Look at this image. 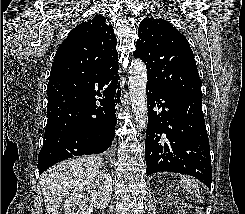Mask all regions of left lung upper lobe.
Instances as JSON below:
<instances>
[{
	"label": "left lung upper lobe",
	"instance_id": "obj_1",
	"mask_svg": "<svg viewBox=\"0 0 245 214\" xmlns=\"http://www.w3.org/2000/svg\"><path fill=\"white\" fill-rule=\"evenodd\" d=\"M134 56L147 68V85L173 94L202 96L201 79L184 35L161 18H146L138 29Z\"/></svg>",
	"mask_w": 245,
	"mask_h": 214
}]
</instances>
